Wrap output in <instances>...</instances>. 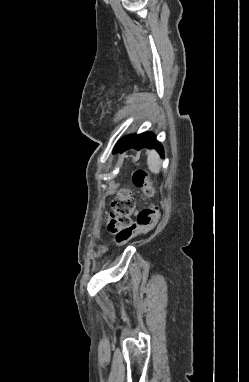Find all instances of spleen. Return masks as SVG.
<instances>
[{
    "label": "spleen",
    "mask_w": 249,
    "mask_h": 382,
    "mask_svg": "<svg viewBox=\"0 0 249 382\" xmlns=\"http://www.w3.org/2000/svg\"><path fill=\"white\" fill-rule=\"evenodd\" d=\"M147 164L153 173L158 174L160 172L161 159L156 151L152 150L148 153Z\"/></svg>",
    "instance_id": "1"
}]
</instances>
